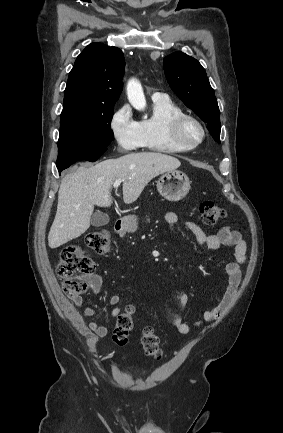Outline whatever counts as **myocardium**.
<instances>
[{
    "label": "myocardium",
    "instance_id": "obj_1",
    "mask_svg": "<svg viewBox=\"0 0 283 433\" xmlns=\"http://www.w3.org/2000/svg\"><path fill=\"white\" fill-rule=\"evenodd\" d=\"M188 123L196 125L201 133L200 138L191 144L185 143L180 136L182 128ZM169 137L179 151H191L197 148L206 138V128L194 115L183 113L173 118L169 129Z\"/></svg>",
    "mask_w": 283,
    "mask_h": 433
}]
</instances>
